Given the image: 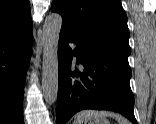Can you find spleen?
Listing matches in <instances>:
<instances>
[{
    "instance_id": "3e777b00",
    "label": "spleen",
    "mask_w": 156,
    "mask_h": 124,
    "mask_svg": "<svg viewBox=\"0 0 156 124\" xmlns=\"http://www.w3.org/2000/svg\"><path fill=\"white\" fill-rule=\"evenodd\" d=\"M100 117H113L117 119L119 124L128 123L124 118L111 111L83 110L76 114L74 124L86 123L88 120Z\"/></svg>"
}]
</instances>
